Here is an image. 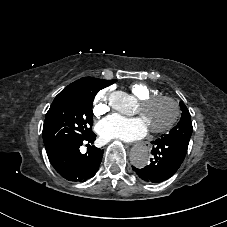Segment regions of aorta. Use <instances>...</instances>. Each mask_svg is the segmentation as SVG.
<instances>
[{"label": "aorta", "mask_w": 227, "mask_h": 227, "mask_svg": "<svg viewBox=\"0 0 227 227\" xmlns=\"http://www.w3.org/2000/svg\"><path fill=\"white\" fill-rule=\"evenodd\" d=\"M120 96V93H113L111 95V100H114ZM150 154L145 146H138L132 149L130 153V160L132 165L137 168H144L149 163Z\"/></svg>", "instance_id": "1"}]
</instances>
